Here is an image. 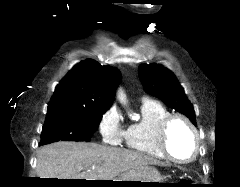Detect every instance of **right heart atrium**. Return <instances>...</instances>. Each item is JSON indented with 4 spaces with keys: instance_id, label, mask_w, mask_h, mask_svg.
<instances>
[{
    "instance_id": "obj_1",
    "label": "right heart atrium",
    "mask_w": 240,
    "mask_h": 187,
    "mask_svg": "<svg viewBox=\"0 0 240 187\" xmlns=\"http://www.w3.org/2000/svg\"><path fill=\"white\" fill-rule=\"evenodd\" d=\"M98 130L104 143L119 145L124 140V129L121 126L120 115L115 107L106 110L98 123Z\"/></svg>"
}]
</instances>
